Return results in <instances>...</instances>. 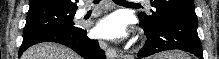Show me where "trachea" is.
Listing matches in <instances>:
<instances>
[{"label": "trachea", "mask_w": 219, "mask_h": 59, "mask_svg": "<svg viewBox=\"0 0 219 59\" xmlns=\"http://www.w3.org/2000/svg\"><path fill=\"white\" fill-rule=\"evenodd\" d=\"M100 2V0H94L93 3L94 4H98ZM114 2L116 4H119V3H126V4H136V3H132V2H128L126 0H114Z\"/></svg>", "instance_id": "3493384b"}]
</instances>
